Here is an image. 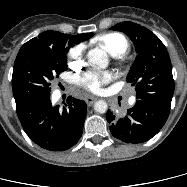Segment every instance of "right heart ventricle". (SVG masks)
<instances>
[{
  "label": "right heart ventricle",
  "mask_w": 187,
  "mask_h": 187,
  "mask_svg": "<svg viewBox=\"0 0 187 187\" xmlns=\"http://www.w3.org/2000/svg\"><path fill=\"white\" fill-rule=\"evenodd\" d=\"M97 43L113 56H120L129 48L127 39L120 33L103 34L97 38Z\"/></svg>",
  "instance_id": "obj_1"
}]
</instances>
